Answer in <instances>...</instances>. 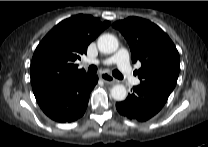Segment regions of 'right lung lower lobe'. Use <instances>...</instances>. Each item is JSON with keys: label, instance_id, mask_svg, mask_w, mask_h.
Returning a JSON list of instances; mask_svg holds the SVG:
<instances>
[{"label": "right lung lower lobe", "instance_id": "obj_1", "mask_svg": "<svg viewBox=\"0 0 208 147\" xmlns=\"http://www.w3.org/2000/svg\"><path fill=\"white\" fill-rule=\"evenodd\" d=\"M98 76L84 75L70 86L37 97L43 112L57 122H72L80 118L88 105L89 95Z\"/></svg>", "mask_w": 208, "mask_h": 147}]
</instances>
